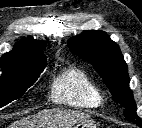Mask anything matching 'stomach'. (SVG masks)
I'll use <instances>...</instances> for the list:
<instances>
[{"mask_svg":"<svg viewBox=\"0 0 142 128\" xmlns=\"http://www.w3.org/2000/svg\"><path fill=\"white\" fill-rule=\"evenodd\" d=\"M73 128H97V126L94 123V121H92L91 119H89V120H85V121L79 122Z\"/></svg>","mask_w":142,"mask_h":128,"instance_id":"stomach-1","label":"stomach"}]
</instances>
